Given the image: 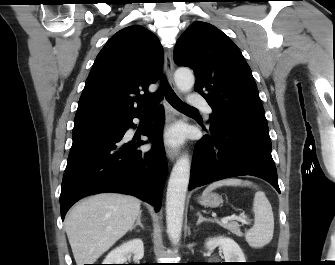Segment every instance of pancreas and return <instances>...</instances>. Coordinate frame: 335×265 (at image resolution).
Here are the masks:
<instances>
[{
	"label": "pancreas",
	"mask_w": 335,
	"mask_h": 265,
	"mask_svg": "<svg viewBox=\"0 0 335 265\" xmlns=\"http://www.w3.org/2000/svg\"><path fill=\"white\" fill-rule=\"evenodd\" d=\"M221 225H222L223 228L229 230L233 234H235L239 237L242 236V232L240 231V225L238 224V222L230 221V222H227V223H222Z\"/></svg>",
	"instance_id": "1"
}]
</instances>
